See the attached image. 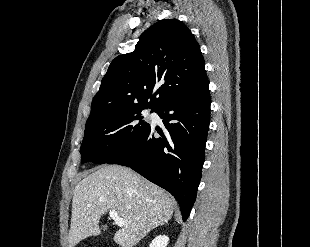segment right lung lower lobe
Instances as JSON below:
<instances>
[{"mask_svg":"<svg viewBox=\"0 0 310 247\" xmlns=\"http://www.w3.org/2000/svg\"><path fill=\"white\" fill-rule=\"evenodd\" d=\"M155 112L163 120L165 134L149 125L134 145L108 164L130 167L170 192L179 202L185 221L196 198L205 158L209 81L172 97ZM156 130L161 137H155Z\"/></svg>","mask_w":310,"mask_h":247,"instance_id":"obj_1","label":"right lung lower lobe"}]
</instances>
